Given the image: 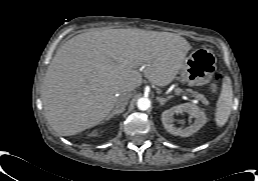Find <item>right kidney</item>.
I'll return each mask as SVG.
<instances>
[{"mask_svg":"<svg viewBox=\"0 0 258 181\" xmlns=\"http://www.w3.org/2000/svg\"><path fill=\"white\" fill-rule=\"evenodd\" d=\"M98 132L97 131H94L92 135H96Z\"/></svg>","mask_w":258,"mask_h":181,"instance_id":"ca27d5eb","label":"right kidney"}]
</instances>
